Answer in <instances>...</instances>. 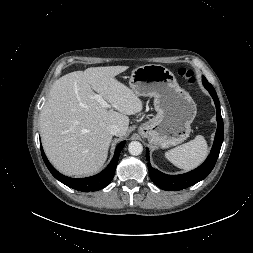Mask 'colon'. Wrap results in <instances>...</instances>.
I'll use <instances>...</instances> for the list:
<instances>
[{
	"label": "colon",
	"mask_w": 253,
	"mask_h": 253,
	"mask_svg": "<svg viewBox=\"0 0 253 253\" xmlns=\"http://www.w3.org/2000/svg\"><path fill=\"white\" fill-rule=\"evenodd\" d=\"M177 74L184 78L185 81L189 84V85H193L196 82V78L194 75V72L192 70L186 69V68H180L177 71Z\"/></svg>",
	"instance_id": "5ec220e1"
}]
</instances>
